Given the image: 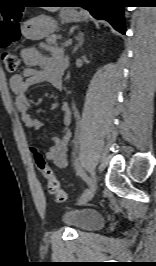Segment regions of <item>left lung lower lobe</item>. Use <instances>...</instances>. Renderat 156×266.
Listing matches in <instances>:
<instances>
[{"mask_svg": "<svg viewBox=\"0 0 156 266\" xmlns=\"http://www.w3.org/2000/svg\"><path fill=\"white\" fill-rule=\"evenodd\" d=\"M126 0H74L73 3L90 11L97 19H105L120 33L125 34L123 8ZM58 4L63 2H57Z\"/></svg>", "mask_w": 156, "mask_h": 266, "instance_id": "1", "label": "left lung lower lobe"}]
</instances>
